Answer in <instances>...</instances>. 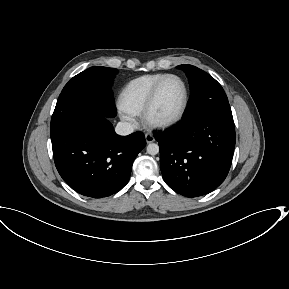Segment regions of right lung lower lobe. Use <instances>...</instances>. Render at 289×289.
<instances>
[{"label":"right lung lower lobe","instance_id":"1","mask_svg":"<svg viewBox=\"0 0 289 289\" xmlns=\"http://www.w3.org/2000/svg\"><path fill=\"white\" fill-rule=\"evenodd\" d=\"M107 118L97 112L84 113L74 125L51 137L59 174L84 196L102 198L121 190L146 145L141 132L117 135Z\"/></svg>","mask_w":289,"mask_h":289}]
</instances>
